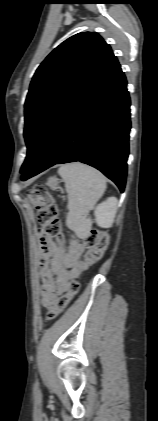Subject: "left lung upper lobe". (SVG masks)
<instances>
[{
    "label": "left lung upper lobe",
    "instance_id": "obj_1",
    "mask_svg": "<svg viewBox=\"0 0 158 421\" xmlns=\"http://www.w3.org/2000/svg\"><path fill=\"white\" fill-rule=\"evenodd\" d=\"M114 57L97 33H78L55 48L36 70L25 101L27 156L34 161L51 126L75 95Z\"/></svg>",
    "mask_w": 158,
    "mask_h": 421
}]
</instances>
